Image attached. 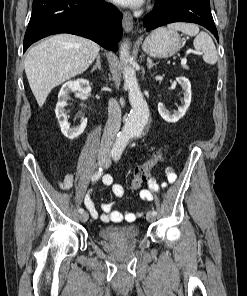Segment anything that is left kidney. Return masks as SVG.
Returning <instances> with one entry per match:
<instances>
[{"label": "left kidney", "mask_w": 247, "mask_h": 296, "mask_svg": "<svg viewBox=\"0 0 247 296\" xmlns=\"http://www.w3.org/2000/svg\"><path fill=\"white\" fill-rule=\"evenodd\" d=\"M177 82L181 85L183 89V95H184V102L180 107H178V111H175L174 113H170L166 107L163 105V103L158 104V112L160 116L169 123H175L179 119H181L191 102V83L190 81L185 77H179L177 78Z\"/></svg>", "instance_id": "obj_1"}]
</instances>
